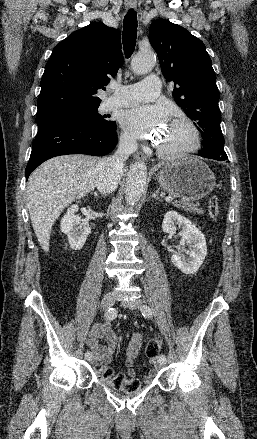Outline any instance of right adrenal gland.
Returning <instances> with one entry per match:
<instances>
[{"label": "right adrenal gland", "instance_id": "2a0ac1e0", "mask_svg": "<svg viewBox=\"0 0 257 439\" xmlns=\"http://www.w3.org/2000/svg\"><path fill=\"white\" fill-rule=\"evenodd\" d=\"M93 194H94L95 197L99 196V194L97 192H93Z\"/></svg>", "mask_w": 257, "mask_h": 439}]
</instances>
